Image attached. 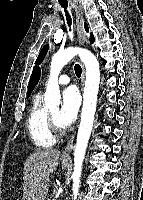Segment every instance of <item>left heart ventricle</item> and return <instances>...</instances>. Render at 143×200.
<instances>
[{
  "instance_id": "b2bd125f",
  "label": "left heart ventricle",
  "mask_w": 143,
  "mask_h": 200,
  "mask_svg": "<svg viewBox=\"0 0 143 200\" xmlns=\"http://www.w3.org/2000/svg\"><path fill=\"white\" fill-rule=\"evenodd\" d=\"M51 114L53 115V117H54L55 120L57 121L58 110H57V109L51 110ZM57 123H58V122H57Z\"/></svg>"
}]
</instances>
